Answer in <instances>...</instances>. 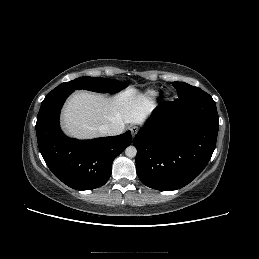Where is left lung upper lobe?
Wrapping results in <instances>:
<instances>
[{
	"instance_id": "left-lung-upper-lobe-1",
	"label": "left lung upper lobe",
	"mask_w": 259,
	"mask_h": 259,
	"mask_svg": "<svg viewBox=\"0 0 259 259\" xmlns=\"http://www.w3.org/2000/svg\"><path fill=\"white\" fill-rule=\"evenodd\" d=\"M172 84L177 90L178 97H179L178 99L181 101L198 100V99L213 100L208 93L204 92L198 87L191 86L184 82H173Z\"/></svg>"
}]
</instances>
